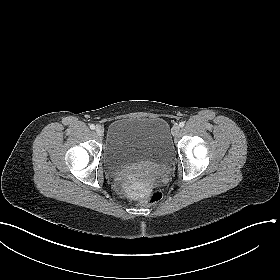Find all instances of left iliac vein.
Returning <instances> with one entry per match:
<instances>
[{
  "instance_id": "1",
  "label": "left iliac vein",
  "mask_w": 280,
  "mask_h": 280,
  "mask_svg": "<svg viewBox=\"0 0 280 280\" xmlns=\"http://www.w3.org/2000/svg\"><path fill=\"white\" fill-rule=\"evenodd\" d=\"M180 131V127L178 125H174L171 129V133L173 136H176L179 134Z\"/></svg>"
}]
</instances>
